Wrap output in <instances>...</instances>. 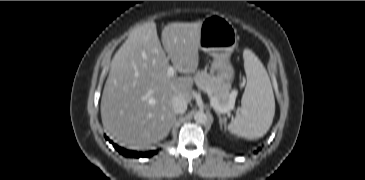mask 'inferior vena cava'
Masks as SVG:
<instances>
[{
  "instance_id": "602c4592",
  "label": "inferior vena cava",
  "mask_w": 365,
  "mask_h": 180,
  "mask_svg": "<svg viewBox=\"0 0 365 180\" xmlns=\"http://www.w3.org/2000/svg\"><path fill=\"white\" fill-rule=\"evenodd\" d=\"M172 106L176 114H183L187 110V102L181 96L173 97Z\"/></svg>"
}]
</instances>
